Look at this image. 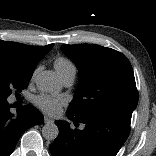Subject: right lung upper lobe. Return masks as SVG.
<instances>
[{"label":"right lung upper lobe","mask_w":156,"mask_h":156,"mask_svg":"<svg viewBox=\"0 0 156 156\" xmlns=\"http://www.w3.org/2000/svg\"><path fill=\"white\" fill-rule=\"evenodd\" d=\"M47 46H28L0 40V60L7 61L22 72L33 74L38 62L52 49Z\"/></svg>","instance_id":"cb5924a9"}]
</instances>
